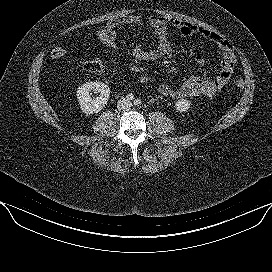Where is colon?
I'll return each instance as SVG.
<instances>
[{
	"label": "colon",
	"instance_id": "colon-1",
	"mask_svg": "<svg viewBox=\"0 0 272 272\" xmlns=\"http://www.w3.org/2000/svg\"><path fill=\"white\" fill-rule=\"evenodd\" d=\"M97 42L105 47L121 48L122 44L118 35L106 31L105 29L99 30L95 34ZM66 54V51L62 47H55L51 51V57L53 59H60ZM83 69L92 74H100L103 71V64L100 60H89L83 64ZM154 80V75L150 72H144L138 75L137 81L139 83L147 84ZM235 86L238 89H243L244 82L241 79L235 81Z\"/></svg>",
	"mask_w": 272,
	"mask_h": 272
}]
</instances>
